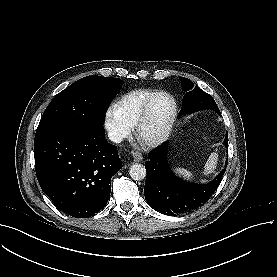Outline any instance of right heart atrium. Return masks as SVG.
I'll return each mask as SVG.
<instances>
[{"instance_id": "1", "label": "right heart atrium", "mask_w": 277, "mask_h": 277, "mask_svg": "<svg viewBox=\"0 0 277 277\" xmlns=\"http://www.w3.org/2000/svg\"><path fill=\"white\" fill-rule=\"evenodd\" d=\"M104 125L111 138L119 141L127 137L131 131L129 123L121 116L115 106L107 108L104 117Z\"/></svg>"}]
</instances>
